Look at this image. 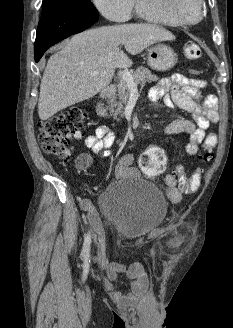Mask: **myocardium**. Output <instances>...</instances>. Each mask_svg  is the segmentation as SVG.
Here are the masks:
<instances>
[{
  "instance_id": "myocardium-1",
  "label": "myocardium",
  "mask_w": 233,
  "mask_h": 328,
  "mask_svg": "<svg viewBox=\"0 0 233 328\" xmlns=\"http://www.w3.org/2000/svg\"><path fill=\"white\" fill-rule=\"evenodd\" d=\"M198 3V18L187 20L177 15L171 0H143V4L148 11L179 26H193L202 21L204 17V0H198Z\"/></svg>"
}]
</instances>
